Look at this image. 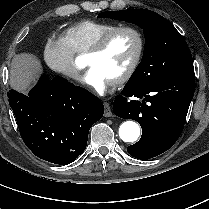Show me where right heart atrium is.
<instances>
[{"label":"right heart atrium","mask_w":209,"mask_h":209,"mask_svg":"<svg viewBox=\"0 0 209 209\" xmlns=\"http://www.w3.org/2000/svg\"><path fill=\"white\" fill-rule=\"evenodd\" d=\"M43 57L54 72L71 80L80 81V68L76 63L74 51L64 36H49L44 45Z\"/></svg>","instance_id":"1"}]
</instances>
